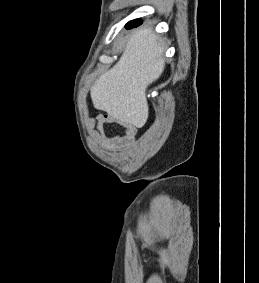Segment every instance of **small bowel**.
<instances>
[{
  "instance_id": "c3829d8e",
  "label": "small bowel",
  "mask_w": 259,
  "mask_h": 283,
  "mask_svg": "<svg viewBox=\"0 0 259 283\" xmlns=\"http://www.w3.org/2000/svg\"><path fill=\"white\" fill-rule=\"evenodd\" d=\"M114 124L123 129L122 134L108 135L106 126ZM88 127L95 140H100L112 149L126 150L131 147L135 141L136 128L125 120L117 119L109 114H99L88 120Z\"/></svg>"
}]
</instances>
